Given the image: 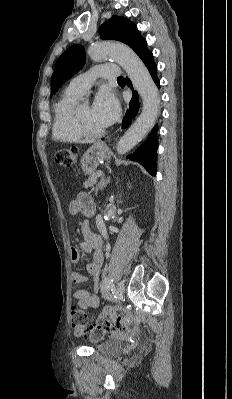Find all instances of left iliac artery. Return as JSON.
<instances>
[{
	"label": "left iliac artery",
	"mask_w": 232,
	"mask_h": 399,
	"mask_svg": "<svg viewBox=\"0 0 232 399\" xmlns=\"http://www.w3.org/2000/svg\"><path fill=\"white\" fill-rule=\"evenodd\" d=\"M105 286L111 289L114 298L118 300L121 298V294L119 293L118 289L114 286L113 279L111 277L106 278Z\"/></svg>",
	"instance_id": "1"
}]
</instances>
